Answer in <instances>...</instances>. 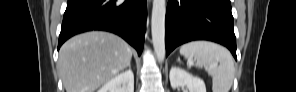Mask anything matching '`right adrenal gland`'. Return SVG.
<instances>
[{
  "label": "right adrenal gland",
  "mask_w": 296,
  "mask_h": 92,
  "mask_svg": "<svg viewBox=\"0 0 296 92\" xmlns=\"http://www.w3.org/2000/svg\"><path fill=\"white\" fill-rule=\"evenodd\" d=\"M127 67L131 70V62L128 63Z\"/></svg>",
  "instance_id": "2a0ac1e0"
}]
</instances>
